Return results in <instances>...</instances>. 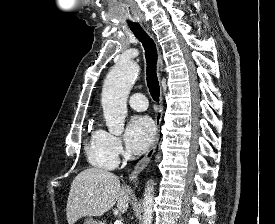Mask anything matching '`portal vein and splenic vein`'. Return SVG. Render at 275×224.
<instances>
[{
	"mask_svg": "<svg viewBox=\"0 0 275 224\" xmlns=\"http://www.w3.org/2000/svg\"><path fill=\"white\" fill-rule=\"evenodd\" d=\"M114 224H123L121 220H116Z\"/></svg>",
	"mask_w": 275,
	"mask_h": 224,
	"instance_id": "1",
	"label": "portal vein and splenic vein"
}]
</instances>
